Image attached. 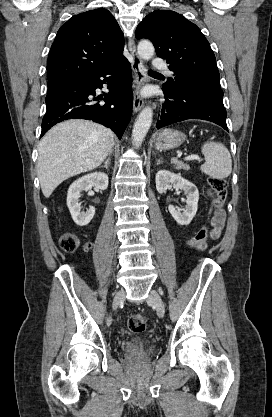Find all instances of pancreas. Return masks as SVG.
Wrapping results in <instances>:
<instances>
[{"mask_svg":"<svg viewBox=\"0 0 272 417\" xmlns=\"http://www.w3.org/2000/svg\"><path fill=\"white\" fill-rule=\"evenodd\" d=\"M174 165H175V167H176V169H184V170H188L189 169V166L188 165H186V164H184V163H182V162H179V161H174Z\"/></svg>","mask_w":272,"mask_h":417,"instance_id":"cf45deb5","label":"pancreas"}]
</instances>
